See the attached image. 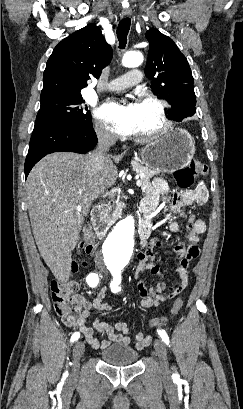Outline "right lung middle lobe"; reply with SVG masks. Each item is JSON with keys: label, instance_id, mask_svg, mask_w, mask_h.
<instances>
[{"label": "right lung middle lobe", "instance_id": "obj_1", "mask_svg": "<svg viewBox=\"0 0 243 409\" xmlns=\"http://www.w3.org/2000/svg\"><path fill=\"white\" fill-rule=\"evenodd\" d=\"M81 95L69 98H54L41 101L37 120L54 121L72 127H83L92 124L91 114L83 105Z\"/></svg>", "mask_w": 243, "mask_h": 409}]
</instances>
